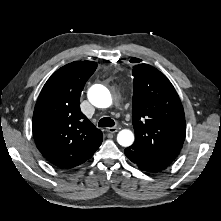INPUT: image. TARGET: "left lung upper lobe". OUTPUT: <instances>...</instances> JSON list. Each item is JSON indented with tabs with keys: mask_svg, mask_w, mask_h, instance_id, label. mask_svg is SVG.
<instances>
[{
	"mask_svg": "<svg viewBox=\"0 0 221 221\" xmlns=\"http://www.w3.org/2000/svg\"><path fill=\"white\" fill-rule=\"evenodd\" d=\"M132 122L135 142L129 148L171 164L185 139L183 106L173 85L158 69L133 67Z\"/></svg>",
	"mask_w": 221,
	"mask_h": 221,
	"instance_id": "left-lung-upper-lobe-1",
	"label": "left lung upper lobe"
}]
</instances>
